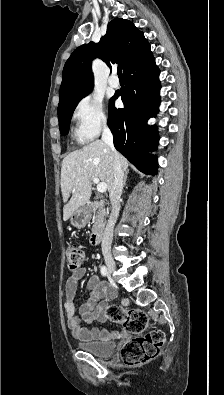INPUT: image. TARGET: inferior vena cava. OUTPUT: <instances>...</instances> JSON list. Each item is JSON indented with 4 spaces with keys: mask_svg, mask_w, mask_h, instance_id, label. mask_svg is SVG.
Here are the masks:
<instances>
[{
    "mask_svg": "<svg viewBox=\"0 0 224 395\" xmlns=\"http://www.w3.org/2000/svg\"><path fill=\"white\" fill-rule=\"evenodd\" d=\"M102 141L108 145L114 155L113 163V185L109 191V198L111 202V213L107 221V225L104 229L102 236V252L103 254H109L111 251V244L113 240V229L120 211V197L123 189L124 171L117 152L115 151L113 144V135L106 124L103 126Z\"/></svg>",
    "mask_w": 224,
    "mask_h": 395,
    "instance_id": "1",
    "label": "inferior vena cava"
}]
</instances>
